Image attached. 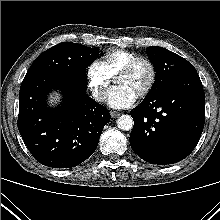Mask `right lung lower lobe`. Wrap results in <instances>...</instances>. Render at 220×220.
<instances>
[{"label": "right lung lower lobe", "mask_w": 220, "mask_h": 220, "mask_svg": "<svg viewBox=\"0 0 220 220\" xmlns=\"http://www.w3.org/2000/svg\"><path fill=\"white\" fill-rule=\"evenodd\" d=\"M86 72L50 71L26 74L20 87L18 129L41 164L53 168L79 165L95 151L109 111L86 94ZM59 89L63 102L46 104L47 94Z\"/></svg>", "instance_id": "98d812e1"}]
</instances>
